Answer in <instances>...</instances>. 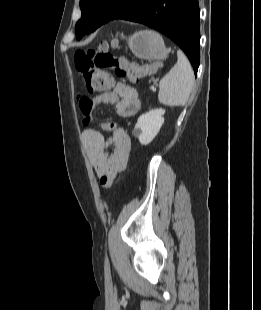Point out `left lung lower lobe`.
Returning <instances> with one entry per match:
<instances>
[{"label":"left lung lower lobe","instance_id":"1","mask_svg":"<svg viewBox=\"0 0 261 310\" xmlns=\"http://www.w3.org/2000/svg\"><path fill=\"white\" fill-rule=\"evenodd\" d=\"M199 16L198 0H131L128 9L116 19L145 24L165 34L186 53L196 75L200 62ZM101 25L92 24L86 34Z\"/></svg>","mask_w":261,"mask_h":310}]
</instances>
